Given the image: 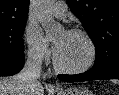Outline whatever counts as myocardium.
I'll use <instances>...</instances> for the list:
<instances>
[{
	"mask_svg": "<svg viewBox=\"0 0 119 95\" xmlns=\"http://www.w3.org/2000/svg\"><path fill=\"white\" fill-rule=\"evenodd\" d=\"M70 34H75V35H80L81 37H83L90 49V55L89 58L87 60V62L80 66V67H76V68H68V67H64L62 66L57 58L56 55H54L53 58V64H54V68L61 73H65V74H71V75H77V74H82L85 73L87 71H89L95 64L96 59H97V46L93 40V38L84 30L82 29H78V28H73L67 31Z\"/></svg>",
	"mask_w": 119,
	"mask_h": 95,
	"instance_id": "f54148a6",
	"label": "myocardium"
}]
</instances>
